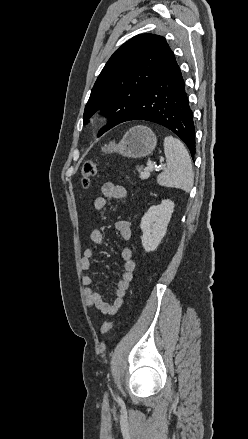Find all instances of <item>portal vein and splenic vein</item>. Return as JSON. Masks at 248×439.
<instances>
[{"label": "portal vein and splenic vein", "instance_id": "18ae733b", "mask_svg": "<svg viewBox=\"0 0 248 439\" xmlns=\"http://www.w3.org/2000/svg\"><path fill=\"white\" fill-rule=\"evenodd\" d=\"M161 169H163V166L156 167V169H155V167L152 163H148L146 171L143 172V178L147 179L149 177V175H150L149 171H151V172L154 170L160 171Z\"/></svg>", "mask_w": 248, "mask_h": 439}]
</instances>
